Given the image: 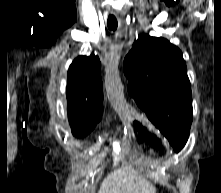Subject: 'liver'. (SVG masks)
Here are the masks:
<instances>
[{"mask_svg":"<svg viewBox=\"0 0 221 193\" xmlns=\"http://www.w3.org/2000/svg\"><path fill=\"white\" fill-rule=\"evenodd\" d=\"M135 191L133 177L122 168L107 175L98 193H136Z\"/></svg>","mask_w":221,"mask_h":193,"instance_id":"liver-1","label":"liver"}]
</instances>
